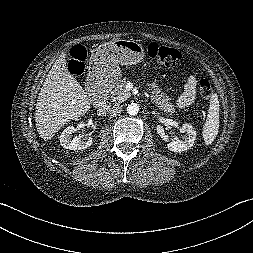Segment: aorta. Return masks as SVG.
Masks as SVG:
<instances>
[{
	"mask_svg": "<svg viewBox=\"0 0 253 253\" xmlns=\"http://www.w3.org/2000/svg\"><path fill=\"white\" fill-rule=\"evenodd\" d=\"M127 112L129 115L131 116H135L138 114L139 112V106L137 103H130L128 106H127Z\"/></svg>",
	"mask_w": 253,
	"mask_h": 253,
	"instance_id": "obj_1",
	"label": "aorta"
}]
</instances>
